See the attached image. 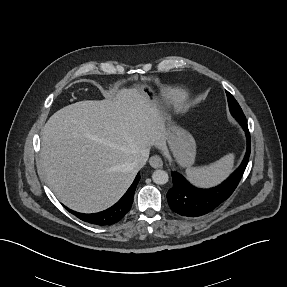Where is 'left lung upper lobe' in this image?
Listing matches in <instances>:
<instances>
[{"instance_id":"obj_1","label":"left lung upper lobe","mask_w":287,"mask_h":287,"mask_svg":"<svg viewBox=\"0 0 287 287\" xmlns=\"http://www.w3.org/2000/svg\"><path fill=\"white\" fill-rule=\"evenodd\" d=\"M226 94H227L229 109L233 117H235L236 119H245V115L240 105L235 100V98L228 91H226Z\"/></svg>"}]
</instances>
